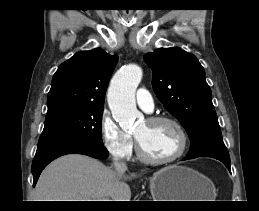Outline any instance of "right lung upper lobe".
Returning <instances> with one entry per match:
<instances>
[{"instance_id":"right-lung-upper-lobe-1","label":"right lung upper lobe","mask_w":259,"mask_h":211,"mask_svg":"<svg viewBox=\"0 0 259 211\" xmlns=\"http://www.w3.org/2000/svg\"><path fill=\"white\" fill-rule=\"evenodd\" d=\"M117 56L100 48L76 53L62 63L52 79L47 98L49 121L88 107H103Z\"/></svg>"}]
</instances>
